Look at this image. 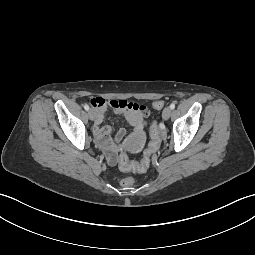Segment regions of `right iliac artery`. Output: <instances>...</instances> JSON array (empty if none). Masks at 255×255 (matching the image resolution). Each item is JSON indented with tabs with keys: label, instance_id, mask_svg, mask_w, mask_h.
Here are the masks:
<instances>
[{
	"label": "right iliac artery",
	"instance_id": "obj_1",
	"mask_svg": "<svg viewBox=\"0 0 255 255\" xmlns=\"http://www.w3.org/2000/svg\"><path fill=\"white\" fill-rule=\"evenodd\" d=\"M84 109H85L86 111H88V110H89V106H88L87 104H85V105H84Z\"/></svg>",
	"mask_w": 255,
	"mask_h": 255
}]
</instances>
